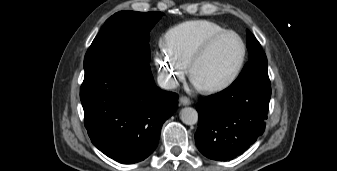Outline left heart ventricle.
<instances>
[{
	"label": "left heart ventricle",
	"instance_id": "b2bd125f",
	"mask_svg": "<svg viewBox=\"0 0 337 171\" xmlns=\"http://www.w3.org/2000/svg\"><path fill=\"white\" fill-rule=\"evenodd\" d=\"M241 56V45L235 36L218 40L197 63L193 79L201 86L219 83L235 68Z\"/></svg>",
	"mask_w": 337,
	"mask_h": 171
}]
</instances>
